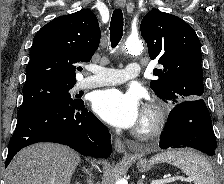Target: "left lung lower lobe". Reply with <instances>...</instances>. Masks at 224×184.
<instances>
[{"instance_id": "1", "label": "left lung lower lobe", "mask_w": 224, "mask_h": 184, "mask_svg": "<svg viewBox=\"0 0 224 184\" xmlns=\"http://www.w3.org/2000/svg\"><path fill=\"white\" fill-rule=\"evenodd\" d=\"M160 148L191 147L209 156L215 154L216 139L212 121L203 99L175 104L160 137Z\"/></svg>"}]
</instances>
